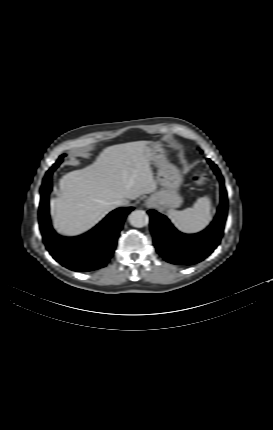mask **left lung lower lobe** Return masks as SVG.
Wrapping results in <instances>:
<instances>
[{
  "label": "left lung lower lobe",
  "mask_w": 273,
  "mask_h": 430,
  "mask_svg": "<svg viewBox=\"0 0 273 430\" xmlns=\"http://www.w3.org/2000/svg\"><path fill=\"white\" fill-rule=\"evenodd\" d=\"M221 186V202L214 221L202 232L183 234L166 216L150 210V226L157 252L169 263L192 265L204 260L220 243L227 217V192L217 166L207 159Z\"/></svg>",
  "instance_id": "0a47b994"
}]
</instances>
